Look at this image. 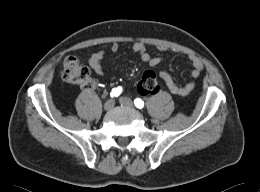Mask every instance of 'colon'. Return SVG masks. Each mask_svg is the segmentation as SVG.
Listing matches in <instances>:
<instances>
[{"label": "colon", "mask_w": 260, "mask_h": 192, "mask_svg": "<svg viewBox=\"0 0 260 192\" xmlns=\"http://www.w3.org/2000/svg\"><path fill=\"white\" fill-rule=\"evenodd\" d=\"M63 79L66 82L74 83L82 89H91L94 86V79L87 67L81 65L79 61L70 57L65 60ZM158 88L157 79L152 82V92Z\"/></svg>", "instance_id": "colon-1"}]
</instances>
